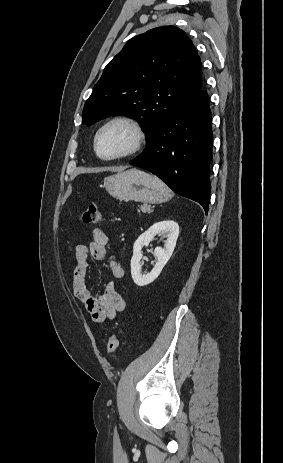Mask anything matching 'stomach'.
Listing matches in <instances>:
<instances>
[{"label": "stomach", "instance_id": "stomach-1", "mask_svg": "<svg viewBox=\"0 0 283 463\" xmlns=\"http://www.w3.org/2000/svg\"><path fill=\"white\" fill-rule=\"evenodd\" d=\"M108 193L120 201L162 203L172 197L171 190L158 177L130 169L104 179Z\"/></svg>", "mask_w": 283, "mask_h": 463}]
</instances>
